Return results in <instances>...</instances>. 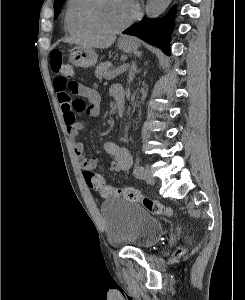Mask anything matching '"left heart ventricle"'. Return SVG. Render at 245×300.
Masks as SVG:
<instances>
[{
	"label": "left heart ventricle",
	"mask_w": 245,
	"mask_h": 300,
	"mask_svg": "<svg viewBox=\"0 0 245 300\" xmlns=\"http://www.w3.org/2000/svg\"><path fill=\"white\" fill-rule=\"evenodd\" d=\"M134 8L129 0H100L95 16L106 28H116L126 23L133 15Z\"/></svg>",
	"instance_id": "left-heart-ventricle-1"
}]
</instances>
